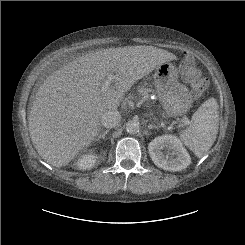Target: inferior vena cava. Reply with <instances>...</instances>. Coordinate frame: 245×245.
I'll list each match as a JSON object with an SVG mask.
<instances>
[{
	"instance_id": "602c4592",
	"label": "inferior vena cava",
	"mask_w": 245,
	"mask_h": 245,
	"mask_svg": "<svg viewBox=\"0 0 245 245\" xmlns=\"http://www.w3.org/2000/svg\"><path fill=\"white\" fill-rule=\"evenodd\" d=\"M121 120V115L117 110H108L101 117V124L106 128H113Z\"/></svg>"
}]
</instances>
